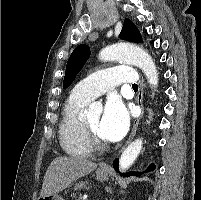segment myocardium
I'll return each mask as SVG.
<instances>
[{
    "mask_svg": "<svg viewBox=\"0 0 201 200\" xmlns=\"http://www.w3.org/2000/svg\"><path fill=\"white\" fill-rule=\"evenodd\" d=\"M82 128L84 133V138L86 144L89 146L91 150H103L106 148L107 144L105 141L101 140L90 127L87 125L85 121H82Z\"/></svg>",
    "mask_w": 201,
    "mask_h": 200,
    "instance_id": "obj_1",
    "label": "myocardium"
}]
</instances>
